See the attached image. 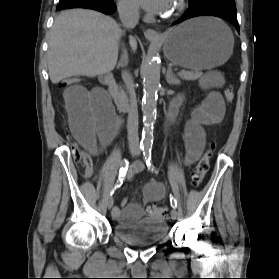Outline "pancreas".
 <instances>
[{
  "label": "pancreas",
  "instance_id": "obj_1",
  "mask_svg": "<svg viewBox=\"0 0 279 279\" xmlns=\"http://www.w3.org/2000/svg\"><path fill=\"white\" fill-rule=\"evenodd\" d=\"M181 72H183V71H181ZM189 73L191 74V76H190L189 78H186V77H184V76L181 75V74H179V76H180L183 80L193 81V80L198 79V78L200 77V75H201L199 72H189ZM120 94H121L122 96H125V93H124V91H123L122 88H120Z\"/></svg>",
  "mask_w": 279,
  "mask_h": 279
}]
</instances>
